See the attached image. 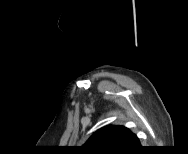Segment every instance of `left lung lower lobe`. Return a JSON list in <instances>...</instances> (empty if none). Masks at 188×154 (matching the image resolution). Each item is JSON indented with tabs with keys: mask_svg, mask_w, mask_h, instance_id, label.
I'll use <instances>...</instances> for the list:
<instances>
[{
	"mask_svg": "<svg viewBox=\"0 0 188 154\" xmlns=\"http://www.w3.org/2000/svg\"><path fill=\"white\" fill-rule=\"evenodd\" d=\"M139 145H140L139 139H138L137 137H135V140H134V142H133L131 148H132V147H137V146H139Z\"/></svg>",
	"mask_w": 188,
	"mask_h": 154,
	"instance_id": "0a47b994",
	"label": "left lung lower lobe"
}]
</instances>
